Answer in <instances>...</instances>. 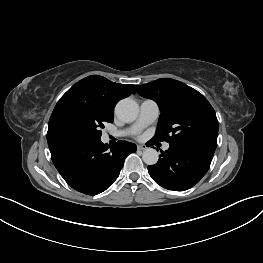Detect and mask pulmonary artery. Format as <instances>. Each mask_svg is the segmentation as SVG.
Wrapping results in <instances>:
<instances>
[{
    "instance_id": "pulmonary-artery-1",
    "label": "pulmonary artery",
    "mask_w": 263,
    "mask_h": 263,
    "mask_svg": "<svg viewBox=\"0 0 263 263\" xmlns=\"http://www.w3.org/2000/svg\"><path fill=\"white\" fill-rule=\"evenodd\" d=\"M159 114L160 110L158 104L153 100L146 99L140 104L139 116L136 122L129 128L114 132L113 135L117 137H123L130 134H135L153 123L158 118ZM163 149L168 150L169 144L165 143L163 145Z\"/></svg>"
}]
</instances>
